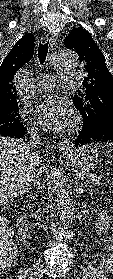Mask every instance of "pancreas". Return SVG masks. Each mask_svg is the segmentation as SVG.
I'll return each instance as SVG.
<instances>
[{
	"label": "pancreas",
	"instance_id": "pancreas-1",
	"mask_svg": "<svg viewBox=\"0 0 113 279\" xmlns=\"http://www.w3.org/2000/svg\"><path fill=\"white\" fill-rule=\"evenodd\" d=\"M80 179L85 181V183L99 185L100 184V177L94 174L81 172L78 174Z\"/></svg>",
	"mask_w": 113,
	"mask_h": 279
}]
</instances>
